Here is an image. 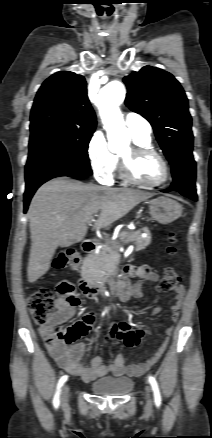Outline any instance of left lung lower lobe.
Returning <instances> with one entry per match:
<instances>
[{
  "mask_svg": "<svg viewBox=\"0 0 212 438\" xmlns=\"http://www.w3.org/2000/svg\"><path fill=\"white\" fill-rule=\"evenodd\" d=\"M173 183L171 188L163 192L175 190L182 195L197 201L196 194V163L192 152L185 153L172 161Z\"/></svg>",
  "mask_w": 212,
  "mask_h": 438,
  "instance_id": "1",
  "label": "left lung lower lobe"
}]
</instances>
